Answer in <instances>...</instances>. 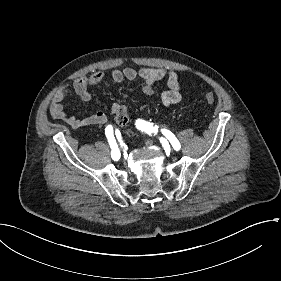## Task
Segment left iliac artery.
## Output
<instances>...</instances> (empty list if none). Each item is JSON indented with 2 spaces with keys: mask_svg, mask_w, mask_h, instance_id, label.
Returning <instances> with one entry per match:
<instances>
[{
  "mask_svg": "<svg viewBox=\"0 0 281 281\" xmlns=\"http://www.w3.org/2000/svg\"><path fill=\"white\" fill-rule=\"evenodd\" d=\"M136 127L148 134H157L158 127L154 126L152 123L138 119L136 120ZM161 132L168 138V140L171 142L173 148L178 151L181 148V145L179 141L176 139V137L171 133L169 130L161 129Z\"/></svg>",
  "mask_w": 281,
  "mask_h": 281,
  "instance_id": "left-iliac-artery-1",
  "label": "left iliac artery"
}]
</instances>
